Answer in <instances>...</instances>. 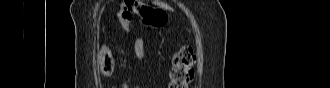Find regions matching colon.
Returning <instances> with one entry per match:
<instances>
[{"label":"colon","instance_id":"5ec220e1","mask_svg":"<svg viewBox=\"0 0 330 88\" xmlns=\"http://www.w3.org/2000/svg\"><path fill=\"white\" fill-rule=\"evenodd\" d=\"M133 16H136L145 26L158 28L164 25L165 15L147 6L140 0L124 1L118 9V17L124 29H128ZM100 70L104 76H111L114 71L112 51L103 47L99 52ZM194 50L189 45L182 46L174 55L170 72V88H188L194 77Z\"/></svg>","mask_w":330,"mask_h":88}]
</instances>
